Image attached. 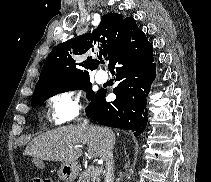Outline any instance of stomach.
I'll use <instances>...</instances> for the list:
<instances>
[{"instance_id": "1", "label": "stomach", "mask_w": 211, "mask_h": 182, "mask_svg": "<svg viewBox=\"0 0 211 182\" xmlns=\"http://www.w3.org/2000/svg\"><path fill=\"white\" fill-rule=\"evenodd\" d=\"M79 172V166L76 162H64L58 172L63 182H74Z\"/></svg>"}]
</instances>
